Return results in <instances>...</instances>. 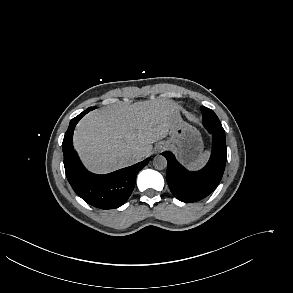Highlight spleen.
I'll use <instances>...</instances> for the list:
<instances>
[{
	"label": "spleen",
	"mask_w": 293,
	"mask_h": 293,
	"mask_svg": "<svg viewBox=\"0 0 293 293\" xmlns=\"http://www.w3.org/2000/svg\"><path fill=\"white\" fill-rule=\"evenodd\" d=\"M208 156H209V153L207 151L200 154L198 156V158L192 164L189 165V168L190 169H199V168L203 167L205 165V163L207 162Z\"/></svg>",
	"instance_id": "3e777b00"
}]
</instances>
